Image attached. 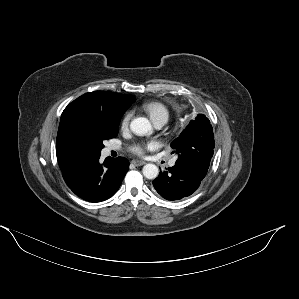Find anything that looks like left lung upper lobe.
I'll return each mask as SVG.
<instances>
[{"instance_id": "1", "label": "left lung upper lobe", "mask_w": 299, "mask_h": 299, "mask_svg": "<svg viewBox=\"0 0 299 299\" xmlns=\"http://www.w3.org/2000/svg\"><path fill=\"white\" fill-rule=\"evenodd\" d=\"M214 134L209 119L198 114L171 143L178 159L198 163L208 169L214 153Z\"/></svg>"}]
</instances>
